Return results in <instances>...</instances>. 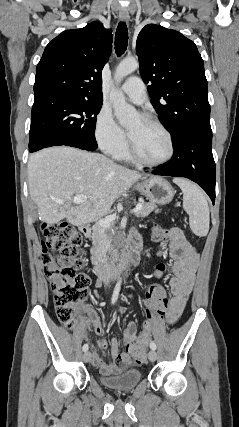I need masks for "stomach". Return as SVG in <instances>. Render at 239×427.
Segmentation results:
<instances>
[{"mask_svg": "<svg viewBox=\"0 0 239 427\" xmlns=\"http://www.w3.org/2000/svg\"><path fill=\"white\" fill-rule=\"evenodd\" d=\"M136 189L152 203L169 204L174 197V190L168 181L161 177H150L136 184Z\"/></svg>", "mask_w": 239, "mask_h": 427, "instance_id": "stomach-1", "label": "stomach"}]
</instances>
